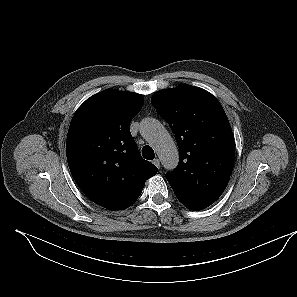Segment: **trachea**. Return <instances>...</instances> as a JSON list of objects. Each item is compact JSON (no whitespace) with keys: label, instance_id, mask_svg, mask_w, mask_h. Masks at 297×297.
<instances>
[{"label":"trachea","instance_id":"trachea-1","mask_svg":"<svg viewBox=\"0 0 297 297\" xmlns=\"http://www.w3.org/2000/svg\"><path fill=\"white\" fill-rule=\"evenodd\" d=\"M142 155L147 160H153L155 157L154 151L150 146H144L142 148Z\"/></svg>","mask_w":297,"mask_h":297}]
</instances>
